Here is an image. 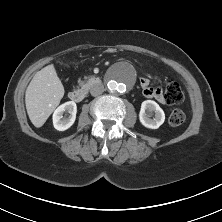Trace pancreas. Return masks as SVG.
Listing matches in <instances>:
<instances>
[{"mask_svg": "<svg viewBox=\"0 0 222 222\" xmlns=\"http://www.w3.org/2000/svg\"><path fill=\"white\" fill-rule=\"evenodd\" d=\"M86 79H87L86 81L79 80L78 81L79 85L82 87L88 86L94 81L95 78L94 77H87Z\"/></svg>", "mask_w": 222, "mask_h": 222, "instance_id": "1", "label": "pancreas"}]
</instances>
